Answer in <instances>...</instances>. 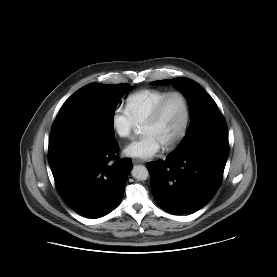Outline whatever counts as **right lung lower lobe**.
<instances>
[{
    "label": "right lung lower lobe",
    "mask_w": 277,
    "mask_h": 277,
    "mask_svg": "<svg viewBox=\"0 0 277 277\" xmlns=\"http://www.w3.org/2000/svg\"><path fill=\"white\" fill-rule=\"evenodd\" d=\"M118 144L74 124H53L48 161L56 188L67 206L98 218L121 201L132 160H118Z\"/></svg>",
    "instance_id": "98d812e1"
}]
</instances>
